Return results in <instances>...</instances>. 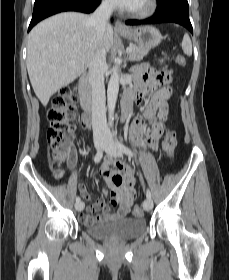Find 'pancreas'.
I'll return each mask as SVG.
<instances>
[{"instance_id":"1","label":"pancreas","mask_w":229,"mask_h":280,"mask_svg":"<svg viewBox=\"0 0 229 280\" xmlns=\"http://www.w3.org/2000/svg\"><path fill=\"white\" fill-rule=\"evenodd\" d=\"M133 51L129 53V60L130 61H140L142 60L149 52V49H143L136 45L131 46Z\"/></svg>"}]
</instances>
